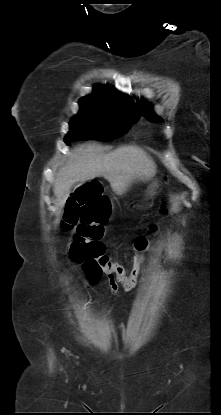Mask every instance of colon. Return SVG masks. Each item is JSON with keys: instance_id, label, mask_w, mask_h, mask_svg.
I'll use <instances>...</instances> for the list:
<instances>
[{"instance_id": "colon-1", "label": "colon", "mask_w": 221, "mask_h": 415, "mask_svg": "<svg viewBox=\"0 0 221 415\" xmlns=\"http://www.w3.org/2000/svg\"><path fill=\"white\" fill-rule=\"evenodd\" d=\"M110 215L109 201L95 184H88L76 191L70 198L64 213L61 227L65 231L75 228L70 247L72 261L82 264L96 280L102 274L109 283L119 284L123 294L136 289L142 272L141 265L146 262L148 248L147 236L140 235L134 241L136 252L131 257L128 268L119 259L104 255L105 246L100 241L104 235V225ZM129 269V272H128Z\"/></svg>"}]
</instances>
